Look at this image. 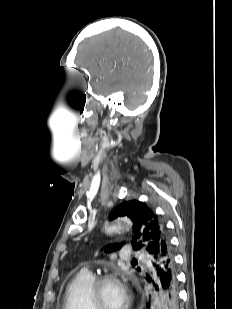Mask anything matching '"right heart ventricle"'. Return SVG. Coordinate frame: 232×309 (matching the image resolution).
I'll use <instances>...</instances> for the list:
<instances>
[{
    "label": "right heart ventricle",
    "mask_w": 232,
    "mask_h": 309,
    "mask_svg": "<svg viewBox=\"0 0 232 309\" xmlns=\"http://www.w3.org/2000/svg\"><path fill=\"white\" fill-rule=\"evenodd\" d=\"M94 281L92 274L79 272L68 284L64 295V309H92L89 291Z\"/></svg>",
    "instance_id": "right-heart-ventricle-1"
}]
</instances>
